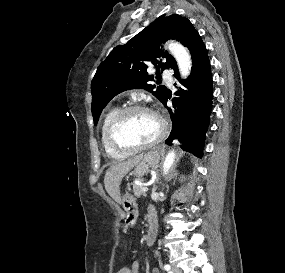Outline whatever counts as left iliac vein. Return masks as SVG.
Returning <instances> with one entry per match:
<instances>
[{
	"instance_id": "4c4485c4",
	"label": "left iliac vein",
	"mask_w": 285,
	"mask_h": 273,
	"mask_svg": "<svg viewBox=\"0 0 285 273\" xmlns=\"http://www.w3.org/2000/svg\"><path fill=\"white\" fill-rule=\"evenodd\" d=\"M171 273H182L181 269H179L178 267H172Z\"/></svg>"
}]
</instances>
